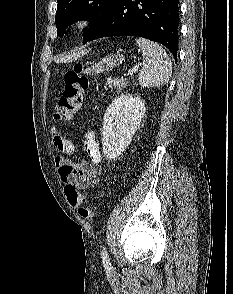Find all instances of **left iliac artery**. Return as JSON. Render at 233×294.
Masks as SVG:
<instances>
[{"instance_id":"44dca946","label":"left iliac artery","mask_w":233,"mask_h":294,"mask_svg":"<svg viewBox=\"0 0 233 294\" xmlns=\"http://www.w3.org/2000/svg\"><path fill=\"white\" fill-rule=\"evenodd\" d=\"M101 257H102V262L104 264V267L110 268L109 256H108L107 249L105 246H103V248H102Z\"/></svg>"}]
</instances>
